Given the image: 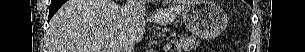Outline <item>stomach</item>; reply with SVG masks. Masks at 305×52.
<instances>
[{"label": "stomach", "instance_id": "obj_1", "mask_svg": "<svg viewBox=\"0 0 305 52\" xmlns=\"http://www.w3.org/2000/svg\"><path fill=\"white\" fill-rule=\"evenodd\" d=\"M182 22L193 34L211 39L227 26V15L220 6L208 0H195L182 11Z\"/></svg>", "mask_w": 305, "mask_h": 52}]
</instances>
